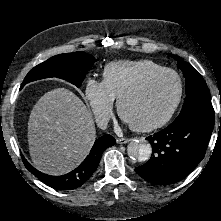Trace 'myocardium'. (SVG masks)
Returning a JSON list of instances; mask_svg holds the SVG:
<instances>
[{
  "mask_svg": "<svg viewBox=\"0 0 221 221\" xmlns=\"http://www.w3.org/2000/svg\"><path fill=\"white\" fill-rule=\"evenodd\" d=\"M163 75L174 76L177 80V83H178L177 97H176L173 105L169 109V111L161 119H159L158 121H155L153 123H150V124L134 125V124L128 123L123 116L124 102L128 98H130L133 95L142 91L152 80H154L160 76H163ZM183 92H184V86H183V81H182L181 76L173 69L164 68V69L149 73L148 75L143 77L140 81H138L137 83H135L134 85L129 87L127 90H125L118 97L117 111H118V114L121 117V119L124 122H126L132 130H134L136 132H150V131H153V130H156V129H159V128L165 126L172 119V117L176 113V111L182 101Z\"/></svg>",
  "mask_w": 221,
  "mask_h": 221,
  "instance_id": "myocardium-1",
  "label": "myocardium"
}]
</instances>
